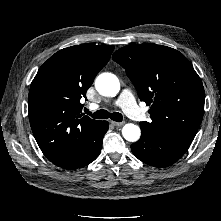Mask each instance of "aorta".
I'll return each mask as SVG.
<instances>
[{
	"label": "aorta",
	"instance_id": "aorta-1",
	"mask_svg": "<svg viewBox=\"0 0 221 221\" xmlns=\"http://www.w3.org/2000/svg\"><path fill=\"white\" fill-rule=\"evenodd\" d=\"M95 87L99 94L114 97L120 90V82L112 73H102L95 81ZM123 137L130 142H136L141 135L140 128L132 123L125 124L122 128Z\"/></svg>",
	"mask_w": 221,
	"mask_h": 221
}]
</instances>
